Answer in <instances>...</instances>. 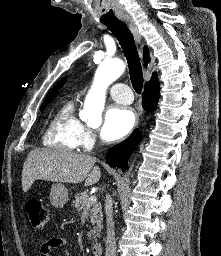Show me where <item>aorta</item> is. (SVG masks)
Wrapping results in <instances>:
<instances>
[{
	"instance_id": "obj_1",
	"label": "aorta",
	"mask_w": 221,
	"mask_h": 256,
	"mask_svg": "<svg viewBox=\"0 0 221 256\" xmlns=\"http://www.w3.org/2000/svg\"><path fill=\"white\" fill-rule=\"evenodd\" d=\"M125 70V64L120 59L104 60L95 73L94 81L88 92L81 117L92 120H101L105 105L108 86L119 78Z\"/></svg>"
}]
</instances>
